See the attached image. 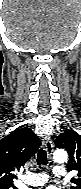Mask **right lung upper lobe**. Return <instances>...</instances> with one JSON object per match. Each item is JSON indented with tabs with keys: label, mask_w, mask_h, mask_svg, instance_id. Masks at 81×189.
Masks as SVG:
<instances>
[{
	"label": "right lung upper lobe",
	"mask_w": 81,
	"mask_h": 189,
	"mask_svg": "<svg viewBox=\"0 0 81 189\" xmlns=\"http://www.w3.org/2000/svg\"><path fill=\"white\" fill-rule=\"evenodd\" d=\"M40 139L30 128L16 129L0 140V186L13 184L19 170L40 147Z\"/></svg>",
	"instance_id": "1"
}]
</instances>
